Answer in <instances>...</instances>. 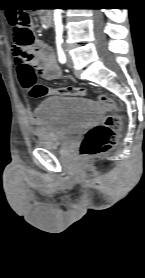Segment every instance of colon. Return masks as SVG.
Listing matches in <instances>:
<instances>
[{"instance_id":"5ec220e1","label":"colon","mask_w":145,"mask_h":278,"mask_svg":"<svg viewBox=\"0 0 145 278\" xmlns=\"http://www.w3.org/2000/svg\"><path fill=\"white\" fill-rule=\"evenodd\" d=\"M14 42L21 48H28L33 44L34 36L31 30L30 16L26 11L20 10L7 16ZM22 87L33 98L46 96H81L85 93L82 87H51L39 83L34 75L24 77ZM99 105L110 111L102 124L90 128L79 146V154L87 160L101 153L111 150L117 142V131L122 126L120 106L109 94L98 96Z\"/></svg>"}]
</instances>
